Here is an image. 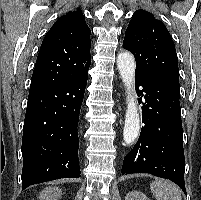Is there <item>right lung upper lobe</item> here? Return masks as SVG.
I'll return each instance as SVG.
<instances>
[{
	"instance_id": "cb5924a9",
	"label": "right lung upper lobe",
	"mask_w": 201,
	"mask_h": 200,
	"mask_svg": "<svg viewBox=\"0 0 201 200\" xmlns=\"http://www.w3.org/2000/svg\"><path fill=\"white\" fill-rule=\"evenodd\" d=\"M90 34L80 9L61 16L43 39L29 93L57 86L82 74L91 64Z\"/></svg>"
}]
</instances>
